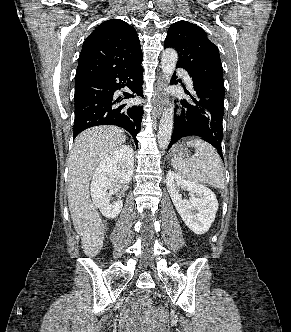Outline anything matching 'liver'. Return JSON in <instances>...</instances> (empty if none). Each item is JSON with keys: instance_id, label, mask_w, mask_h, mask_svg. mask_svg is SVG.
Returning <instances> with one entry per match:
<instances>
[{"instance_id": "1", "label": "liver", "mask_w": 291, "mask_h": 332, "mask_svg": "<svg viewBox=\"0 0 291 332\" xmlns=\"http://www.w3.org/2000/svg\"><path fill=\"white\" fill-rule=\"evenodd\" d=\"M126 140L115 126H97L80 133L71 150L68 173V206L74 228L86 255L96 256L102 246L105 227L90 199L91 178L111 152Z\"/></svg>"}]
</instances>
